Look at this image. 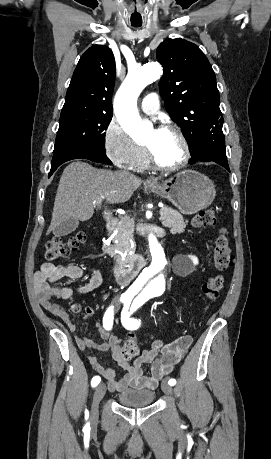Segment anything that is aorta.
Returning a JSON list of instances; mask_svg holds the SVG:
<instances>
[{
    "instance_id": "aorta-1",
    "label": "aorta",
    "mask_w": 271,
    "mask_h": 459,
    "mask_svg": "<svg viewBox=\"0 0 271 459\" xmlns=\"http://www.w3.org/2000/svg\"><path fill=\"white\" fill-rule=\"evenodd\" d=\"M163 73L158 63H148L138 69L131 70L114 100V110L123 130L134 140H142L147 136L149 125L145 123L137 109V99L142 90L158 80ZM149 250L145 268L141 271L132 289L143 291L150 297L164 293L169 276L168 259L164 248L152 233L148 236Z\"/></svg>"
}]
</instances>
